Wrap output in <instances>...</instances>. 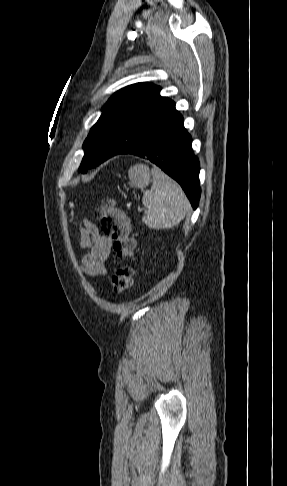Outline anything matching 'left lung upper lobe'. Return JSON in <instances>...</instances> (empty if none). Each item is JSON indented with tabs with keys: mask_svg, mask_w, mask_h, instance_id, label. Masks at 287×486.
Wrapping results in <instances>:
<instances>
[{
	"mask_svg": "<svg viewBox=\"0 0 287 486\" xmlns=\"http://www.w3.org/2000/svg\"><path fill=\"white\" fill-rule=\"evenodd\" d=\"M161 87L143 82L127 86L108 100L84 144L78 169L85 173L117 154H126L176 110L175 103L160 96Z\"/></svg>",
	"mask_w": 287,
	"mask_h": 486,
	"instance_id": "obj_1",
	"label": "left lung upper lobe"
}]
</instances>
